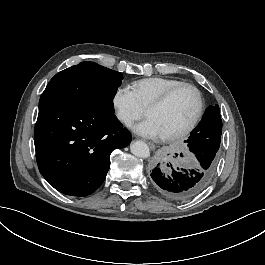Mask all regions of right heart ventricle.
Segmentation results:
<instances>
[{
    "label": "right heart ventricle",
    "instance_id": "1",
    "mask_svg": "<svg viewBox=\"0 0 265 265\" xmlns=\"http://www.w3.org/2000/svg\"><path fill=\"white\" fill-rule=\"evenodd\" d=\"M184 81L166 77H148L134 81L131 89L140 105L147 109L171 89L184 84Z\"/></svg>",
    "mask_w": 265,
    "mask_h": 265
}]
</instances>
